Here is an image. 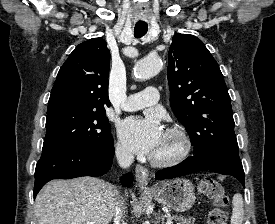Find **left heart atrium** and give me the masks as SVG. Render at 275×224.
I'll list each match as a JSON object with an SVG mask.
<instances>
[{
  "label": "left heart atrium",
  "instance_id": "obj_1",
  "mask_svg": "<svg viewBox=\"0 0 275 224\" xmlns=\"http://www.w3.org/2000/svg\"><path fill=\"white\" fill-rule=\"evenodd\" d=\"M118 133L125 147L136 154H154L165 135L155 114L123 120L119 124Z\"/></svg>",
  "mask_w": 275,
  "mask_h": 224
}]
</instances>
